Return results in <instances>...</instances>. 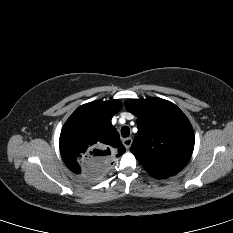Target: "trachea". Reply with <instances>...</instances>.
<instances>
[{"label":"trachea","instance_id":"trachea-1","mask_svg":"<svg viewBox=\"0 0 233 233\" xmlns=\"http://www.w3.org/2000/svg\"><path fill=\"white\" fill-rule=\"evenodd\" d=\"M129 134H130V129H129V127H128V126H123V127L121 128V135H122V137H128Z\"/></svg>","mask_w":233,"mask_h":233}]
</instances>
